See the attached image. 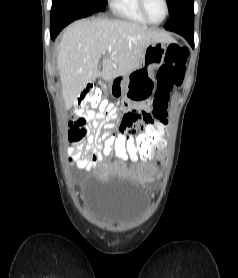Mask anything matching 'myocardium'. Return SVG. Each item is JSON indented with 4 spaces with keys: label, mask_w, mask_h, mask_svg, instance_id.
Listing matches in <instances>:
<instances>
[{
    "label": "myocardium",
    "mask_w": 238,
    "mask_h": 278,
    "mask_svg": "<svg viewBox=\"0 0 238 278\" xmlns=\"http://www.w3.org/2000/svg\"><path fill=\"white\" fill-rule=\"evenodd\" d=\"M138 2H139V8H140L141 13L143 14V16L146 18V20L149 23H152V24H161L162 22H164L167 19L168 15H169V12H170L168 0H163L164 5H165V15H164V17L160 21H154L149 16V14L147 12V8H146V0H138Z\"/></svg>",
    "instance_id": "1"
}]
</instances>
